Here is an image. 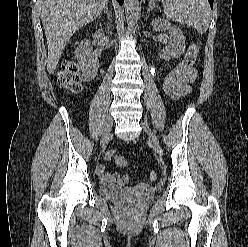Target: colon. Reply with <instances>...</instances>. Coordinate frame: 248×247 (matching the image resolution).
<instances>
[{
  "label": "colon",
  "instance_id": "colon-1",
  "mask_svg": "<svg viewBox=\"0 0 248 247\" xmlns=\"http://www.w3.org/2000/svg\"><path fill=\"white\" fill-rule=\"evenodd\" d=\"M197 54L198 49L196 44L190 45L187 55L184 57V59L178 64V66L174 70H172L167 75L162 85L163 94L167 98L173 99L176 97L180 87L181 78L185 74V72L188 71L194 65L197 58ZM59 85L62 88L69 90L73 93H78L81 90V81L74 59L68 58L64 62L59 77ZM106 158L108 160L114 159L119 167H127L126 160L113 150L109 151L106 154ZM156 178L157 173L154 171L151 172L150 179L155 180Z\"/></svg>",
  "mask_w": 248,
  "mask_h": 247
}]
</instances>
